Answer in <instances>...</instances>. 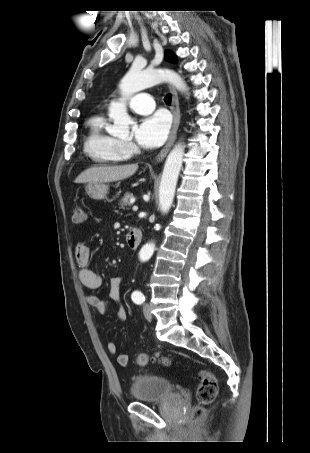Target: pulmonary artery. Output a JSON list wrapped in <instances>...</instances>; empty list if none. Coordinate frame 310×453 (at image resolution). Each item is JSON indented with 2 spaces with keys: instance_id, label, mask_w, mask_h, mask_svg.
I'll use <instances>...</instances> for the list:
<instances>
[{
  "instance_id": "obj_1",
  "label": "pulmonary artery",
  "mask_w": 310,
  "mask_h": 453,
  "mask_svg": "<svg viewBox=\"0 0 310 453\" xmlns=\"http://www.w3.org/2000/svg\"><path fill=\"white\" fill-rule=\"evenodd\" d=\"M127 103L129 107L138 114H148L155 108L153 98L146 93H138L131 96Z\"/></svg>"
}]
</instances>
